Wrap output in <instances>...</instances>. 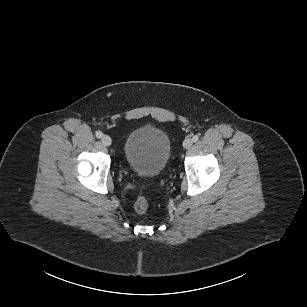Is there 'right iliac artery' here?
<instances>
[{
  "label": "right iliac artery",
  "instance_id": "1",
  "mask_svg": "<svg viewBox=\"0 0 307 307\" xmlns=\"http://www.w3.org/2000/svg\"><path fill=\"white\" fill-rule=\"evenodd\" d=\"M102 135H103L102 132H100V131H97V132H96V137H97V138H101Z\"/></svg>",
  "mask_w": 307,
  "mask_h": 307
}]
</instances>
